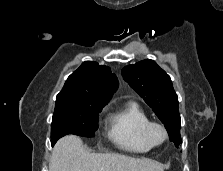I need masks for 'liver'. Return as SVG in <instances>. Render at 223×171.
I'll list each match as a JSON object with an SVG mask.
<instances>
[{
    "mask_svg": "<svg viewBox=\"0 0 223 171\" xmlns=\"http://www.w3.org/2000/svg\"><path fill=\"white\" fill-rule=\"evenodd\" d=\"M164 166L150 159L125 155L91 153L78 136L67 135L54 146L49 171H163Z\"/></svg>",
    "mask_w": 223,
    "mask_h": 171,
    "instance_id": "obj_1",
    "label": "liver"
}]
</instances>
